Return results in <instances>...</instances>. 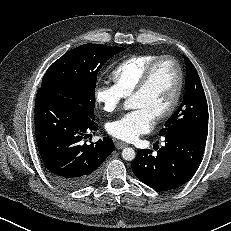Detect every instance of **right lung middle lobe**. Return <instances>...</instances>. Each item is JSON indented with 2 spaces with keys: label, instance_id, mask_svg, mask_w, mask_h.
I'll return each instance as SVG.
<instances>
[{
  "label": "right lung middle lobe",
  "instance_id": "dd1d6c3e",
  "mask_svg": "<svg viewBox=\"0 0 231 231\" xmlns=\"http://www.w3.org/2000/svg\"><path fill=\"white\" fill-rule=\"evenodd\" d=\"M125 49L100 44H84L72 49L48 68L40 88L73 99L94 119L97 74L108 59Z\"/></svg>",
  "mask_w": 231,
  "mask_h": 231
}]
</instances>
